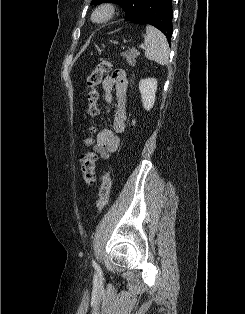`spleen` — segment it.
<instances>
[{"mask_svg":"<svg viewBox=\"0 0 245 314\" xmlns=\"http://www.w3.org/2000/svg\"><path fill=\"white\" fill-rule=\"evenodd\" d=\"M144 43L145 57L160 65H167L169 61V44L165 35L157 28L147 25Z\"/></svg>","mask_w":245,"mask_h":314,"instance_id":"3e777b00","label":"spleen"}]
</instances>
